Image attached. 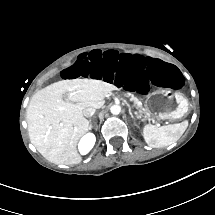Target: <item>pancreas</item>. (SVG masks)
Listing matches in <instances>:
<instances>
[{
    "label": "pancreas",
    "instance_id": "cf45deb5",
    "mask_svg": "<svg viewBox=\"0 0 215 215\" xmlns=\"http://www.w3.org/2000/svg\"><path fill=\"white\" fill-rule=\"evenodd\" d=\"M131 100L134 102V104H136L137 108H138L139 110H141V106L138 105V102H139L138 99L135 98V97H132Z\"/></svg>",
    "mask_w": 215,
    "mask_h": 215
}]
</instances>
